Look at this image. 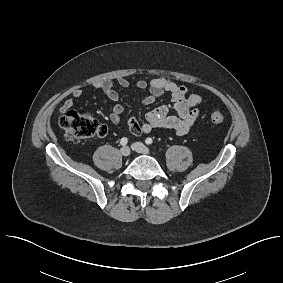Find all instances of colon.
Listing matches in <instances>:
<instances>
[{
    "label": "colon",
    "mask_w": 283,
    "mask_h": 283,
    "mask_svg": "<svg viewBox=\"0 0 283 283\" xmlns=\"http://www.w3.org/2000/svg\"><path fill=\"white\" fill-rule=\"evenodd\" d=\"M213 124H221L225 118L220 112L210 115ZM60 126L70 141H79L92 137H102L106 134V126L89 114L70 110L60 118Z\"/></svg>",
    "instance_id": "obj_1"
}]
</instances>
